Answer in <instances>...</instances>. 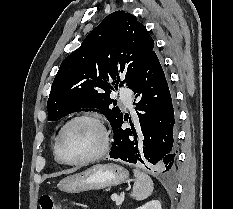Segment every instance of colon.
<instances>
[{
	"mask_svg": "<svg viewBox=\"0 0 233 209\" xmlns=\"http://www.w3.org/2000/svg\"><path fill=\"white\" fill-rule=\"evenodd\" d=\"M39 206L40 209H61L55 205L53 198L50 195H42L39 199Z\"/></svg>",
	"mask_w": 233,
	"mask_h": 209,
	"instance_id": "1",
	"label": "colon"
}]
</instances>
